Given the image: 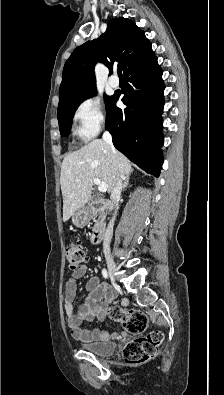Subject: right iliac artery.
<instances>
[{
	"label": "right iliac artery",
	"mask_w": 224,
	"mask_h": 395,
	"mask_svg": "<svg viewBox=\"0 0 224 395\" xmlns=\"http://www.w3.org/2000/svg\"><path fill=\"white\" fill-rule=\"evenodd\" d=\"M102 275L105 279H108V273L105 269L102 270Z\"/></svg>",
	"instance_id": "obj_1"
}]
</instances>
